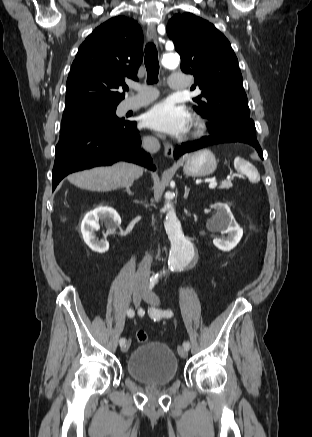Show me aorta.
I'll use <instances>...</instances> for the list:
<instances>
[{"label":"aorta","mask_w":312,"mask_h":437,"mask_svg":"<svg viewBox=\"0 0 312 437\" xmlns=\"http://www.w3.org/2000/svg\"><path fill=\"white\" fill-rule=\"evenodd\" d=\"M179 62L180 57L174 53L165 54L162 58V64L166 68L177 67ZM165 199L167 215L164 221V227L171 242L168 268L170 270H178L194 257L195 252L192 243L185 238L182 232L181 223L176 216L171 202V194L166 193Z\"/></svg>","instance_id":"aorta-1"}]
</instances>
